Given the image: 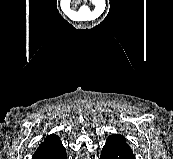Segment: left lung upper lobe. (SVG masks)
Listing matches in <instances>:
<instances>
[{
	"instance_id": "left-lung-upper-lobe-1",
	"label": "left lung upper lobe",
	"mask_w": 173,
	"mask_h": 159,
	"mask_svg": "<svg viewBox=\"0 0 173 159\" xmlns=\"http://www.w3.org/2000/svg\"><path fill=\"white\" fill-rule=\"evenodd\" d=\"M106 142L114 144V145H116L118 147H121L123 149L132 151L131 148L129 147V145L126 143V139L123 136L119 135V134L110 135L107 138Z\"/></svg>"
}]
</instances>
